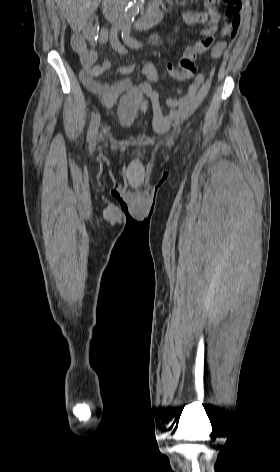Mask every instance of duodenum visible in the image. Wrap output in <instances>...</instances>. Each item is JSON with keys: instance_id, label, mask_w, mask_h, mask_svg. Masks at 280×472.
Instances as JSON below:
<instances>
[{"instance_id": "duodenum-1", "label": "duodenum", "mask_w": 280, "mask_h": 472, "mask_svg": "<svg viewBox=\"0 0 280 472\" xmlns=\"http://www.w3.org/2000/svg\"><path fill=\"white\" fill-rule=\"evenodd\" d=\"M102 10L106 19L114 25H117L122 13L121 0H104L102 3ZM163 17L164 12L162 9H150L136 21L135 27L139 30L149 29L159 24Z\"/></svg>"}]
</instances>
